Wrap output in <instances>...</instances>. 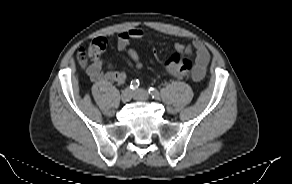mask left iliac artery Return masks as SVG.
Wrapping results in <instances>:
<instances>
[{
  "label": "left iliac artery",
  "instance_id": "1",
  "mask_svg": "<svg viewBox=\"0 0 292 184\" xmlns=\"http://www.w3.org/2000/svg\"><path fill=\"white\" fill-rule=\"evenodd\" d=\"M148 91H149V94L152 96V98L160 99V93L157 89L150 87Z\"/></svg>",
  "mask_w": 292,
  "mask_h": 184
}]
</instances>
